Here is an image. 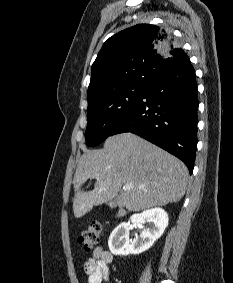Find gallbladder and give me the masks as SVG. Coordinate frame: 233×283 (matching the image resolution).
<instances>
[{"label":"gallbladder","instance_id":"gallbladder-1","mask_svg":"<svg viewBox=\"0 0 233 283\" xmlns=\"http://www.w3.org/2000/svg\"><path fill=\"white\" fill-rule=\"evenodd\" d=\"M116 199L117 197H115L114 200L109 204L111 208L115 206Z\"/></svg>","mask_w":233,"mask_h":283}]
</instances>
